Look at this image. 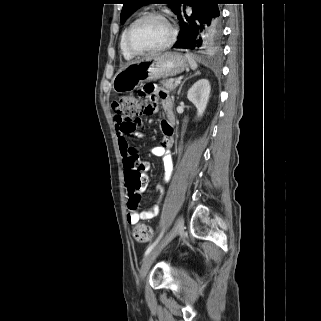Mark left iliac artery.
Returning <instances> with one entry per match:
<instances>
[{
	"instance_id": "1",
	"label": "left iliac artery",
	"mask_w": 321,
	"mask_h": 321,
	"mask_svg": "<svg viewBox=\"0 0 321 321\" xmlns=\"http://www.w3.org/2000/svg\"><path fill=\"white\" fill-rule=\"evenodd\" d=\"M164 231H162L160 233V235L158 236V238L147 248V250L145 251L144 256L146 257L153 249L154 247L158 244V242L160 241V239L163 236Z\"/></svg>"
}]
</instances>
